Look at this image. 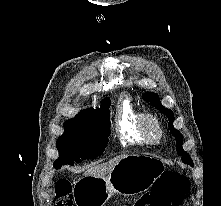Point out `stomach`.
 Returning a JSON list of instances; mask_svg holds the SVG:
<instances>
[{
  "instance_id": "1",
  "label": "stomach",
  "mask_w": 221,
  "mask_h": 206,
  "mask_svg": "<svg viewBox=\"0 0 221 206\" xmlns=\"http://www.w3.org/2000/svg\"><path fill=\"white\" fill-rule=\"evenodd\" d=\"M164 169V161L160 158L127 155L105 177L84 175L79 180L81 192L76 201L80 206H103L114 194L142 193L151 187Z\"/></svg>"
}]
</instances>
